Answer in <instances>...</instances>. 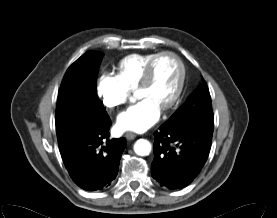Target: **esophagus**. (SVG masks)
Here are the masks:
<instances>
[{
  "label": "esophagus",
  "instance_id": "esophagus-1",
  "mask_svg": "<svg viewBox=\"0 0 277 218\" xmlns=\"http://www.w3.org/2000/svg\"><path fill=\"white\" fill-rule=\"evenodd\" d=\"M125 138H126L127 140H133V139L136 138V134H134V133H132V132H127V133L125 134Z\"/></svg>",
  "mask_w": 277,
  "mask_h": 218
}]
</instances>
